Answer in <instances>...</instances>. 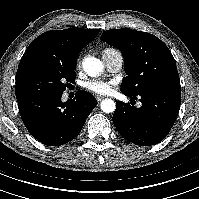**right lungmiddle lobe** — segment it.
Masks as SVG:
<instances>
[{"label": "right lung middle lobe", "instance_id": "right-lung-middle-lobe-1", "mask_svg": "<svg viewBox=\"0 0 199 199\" xmlns=\"http://www.w3.org/2000/svg\"><path fill=\"white\" fill-rule=\"evenodd\" d=\"M76 62H60L41 53L23 56L16 73V97L63 93L66 83L74 82Z\"/></svg>", "mask_w": 199, "mask_h": 199}]
</instances>
